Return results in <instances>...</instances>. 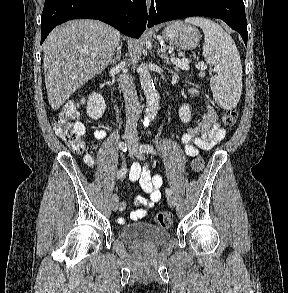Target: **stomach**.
<instances>
[{
	"mask_svg": "<svg viewBox=\"0 0 288 293\" xmlns=\"http://www.w3.org/2000/svg\"><path fill=\"white\" fill-rule=\"evenodd\" d=\"M162 34L168 43L183 50L194 49L201 38L196 27L179 21L168 25Z\"/></svg>",
	"mask_w": 288,
	"mask_h": 293,
	"instance_id": "stomach-1",
	"label": "stomach"
}]
</instances>
